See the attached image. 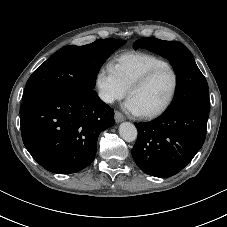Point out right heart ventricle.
I'll use <instances>...</instances> for the list:
<instances>
[{"instance_id":"1","label":"right heart ventricle","mask_w":227,"mask_h":227,"mask_svg":"<svg viewBox=\"0 0 227 227\" xmlns=\"http://www.w3.org/2000/svg\"><path fill=\"white\" fill-rule=\"evenodd\" d=\"M168 63L149 53L126 52L115 57L112 67L122 84L128 89L133 82L149 70Z\"/></svg>"}]
</instances>
